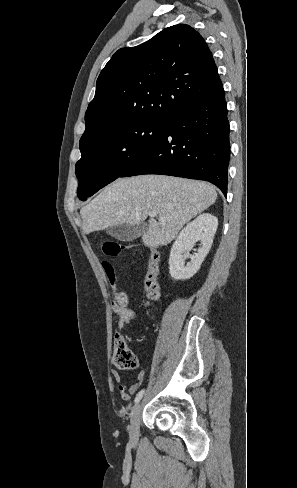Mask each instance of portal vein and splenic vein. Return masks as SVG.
Returning a JSON list of instances; mask_svg holds the SVG:
<instances>
[{
  "label": "portal vein and splenic vein",
  "mask_w": 297,
  "mask_h": 488,
  "mask_svg": "<svg viewBox=\"0 0 297 488\" xmlns=\"http://www.w3.org/2000/svg\"><path fill=\"white\" fill-rule=\"evenodd\" d=\"M148 215H149L150 217H154V216H156V213H155L154 211H151V212H149V213H148ZM163 220H164V218H163V217H161V216H159V221H163Z\"/></svg>",
  "instance_id": "1"
}]
</instances>
